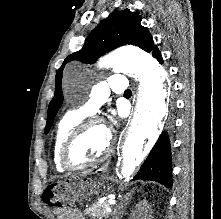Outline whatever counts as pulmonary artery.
Returning <instances> with one entry per match:
<instances>
[{
	"label": "pulmonary artery",
	"mask_w": 221,
	"mask_h": 219,
	"mask_svg": "<svg viewBox=\"0 0 221 219\" xmlns=\"http://www.w3.org/2000/svg\"><path fill=\"white\" fill-rule=\"evenodd\" d=\"M125 75L116 74L109 77L107 82L100 83L90 94L88 100L78 109L86 114L95 113L108 99L111 92L124 94L127 89Z\"/></svg>",
	"instance_id": "pulmonary-artery-1"
}]
</instances>
